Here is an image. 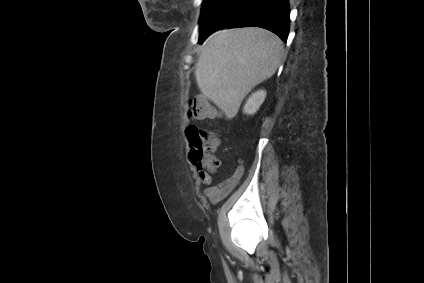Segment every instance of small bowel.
Segmentation results:
<instances>
[{
	"label": "small bowel",
	"mask_w": 424,
	"mask_h": 283,
	"mask_svg": "<svg viewBox=\"0 0 424 283\" xmlns=\"http://www.w3.org/2000/svg\"><path fill=\"white\" fill-rule=\"evenodd\" d=\"M220 164L221 162L219 160L216 167L193 163L197 181L199 184L206 186L204 196L212 203H217L226 198L238 185L244 173V165L241 160H238L234 173L222 183L214 185L213 174L216 173Z\"/></svg>",
	"instance_id": "1"
}]
</instances>
